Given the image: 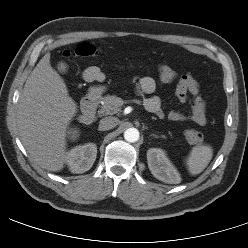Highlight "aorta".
Here are the masks:
<instances>
[{
	"label": "aorta",
	"instance_id": "obj_1",
	"mask_svg": "<svg viewBox=\"0 0 248 248\" xmlns=\"http://www.w3.org/2000/svg\"><path fill=\"white\" fill-rule=\"evenodd\" d=\"M124 138L130 143L137 142L139 140V131L136 128H128L124 132Z\"/></svg>",
	"mask_w": 248,
	"mask_h": 248
}]
</instances>
